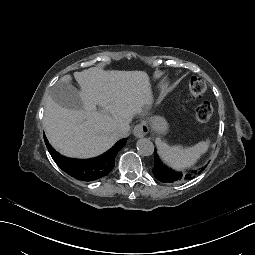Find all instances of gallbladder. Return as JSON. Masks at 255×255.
<instances>
[{
  "label": "gallbladder",
  "instance_id": "1",
  "mask_svg": "<svg viewBox=\"0 0 255 255\" xmlns=\"http://www.w3.org/2000/svg\"><path fill=\"white\" fill-rule=\"evenodd\" d=\"M51 98L60 106L70 109H83L78 90L72 84L58 82L50 90Z\"/></svg>",
  "mask_w": 255,
  "mask_h": 255
}]
</instances>
